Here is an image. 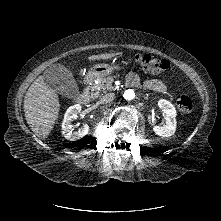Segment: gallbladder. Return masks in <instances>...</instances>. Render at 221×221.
<instances>
[{"mask_svg": "<svg viewBox=\"0 0 221 221\" xmlns=\"http://www.w3.org/2000/svg\"><path fill=\"white\" fill-rule=\"evenodd\" d=\"M46 82L54 91L71 97L74 94L75 81L72 74L60 64L53 65L45 75Z\"/></svg>", "mask_w": 221, "mask_h": 221, "instance_id": "1", "label": "gallbladder"}]
</instances>
